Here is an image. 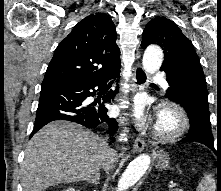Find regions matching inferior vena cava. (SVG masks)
I'll return each instance as SVG.
<instances>
[{"instance_id": "obj_1", "label": "inferior vena cava", "mask_w": 221, "mask_h": 191, "mask_svg": "<svg viewBox=\"0 0 221 191\" xmlns=\"http://www.w3.org/2000/svg\"><path fill=\"white\" fill-rule=\"evenodd\" d=\"M103 141H104V143H105V145H106V149H105V162L103 163V166H105L106 163H107L109 160H110V161H113L115 153H114V150H113V149H111V148L108 147L106 141H105V140H103ZM96 174H97V173H95V175H96Z\"/></svg>"}]
</instances>
